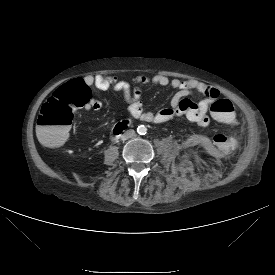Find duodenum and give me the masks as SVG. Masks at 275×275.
<instances>
[{
	"instance_id": "obj_1",
	"label": "duodenum",
	"mask_w": 275,
	"mask_h": 275,
	"mask_svg": "<svg viewBox=\"0 0 275 275\" xmlns=\"http://www.w3.org/2000/svg\"><path fill=\"white\" fill-rule=\"evenodd\" d=\"M129 125V120H123L117 123L111 132L112 139H117L122 134V132H124L129 127Z\"/></svg>"
}]
</instances>
